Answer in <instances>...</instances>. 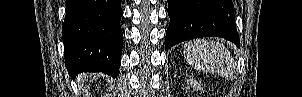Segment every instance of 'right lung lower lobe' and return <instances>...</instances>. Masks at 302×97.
Returning <instances> with one entry per match:
<instances>
[{
	"label": "right lung lower lobe",
	"instance_id": "right-lung-lower-lobe-1",
	"mask_svg": "<svg viewBox=\"0 0 302 97\" xmlns=\"http://www.w3.org/2000/svg\"><path fill=\"white\" fill-rule=\"evenodd\" d=\"M122 14L121 0H66L62 39L70 76L82 72L118 75Z\"/></svg>",
	"mask_w": 302,
	"mask_h": 97
}]
</instances>
